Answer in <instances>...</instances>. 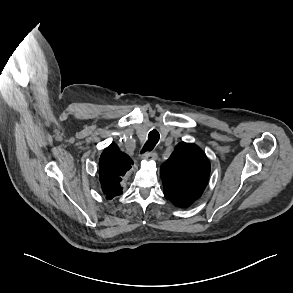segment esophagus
Wrapping results in <instances>:
<instances>
[{"label":"esophagus","instance_id":"34e87169","mask_svg":"<svg viewBox=\"0 0 293 293\" xmlns=\"http://www.w3.org/2000/svg\"><path fill=\"white\" fill-rule=\"evenodd\" d=\"M157 158L156 152H150L142 155V159L144 160H155Z\"/></svg>","mask_w":293,"mask_h":293}]
</instances>
